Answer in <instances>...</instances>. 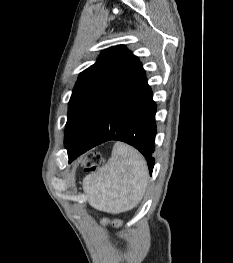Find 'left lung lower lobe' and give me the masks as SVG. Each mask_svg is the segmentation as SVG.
<instances>
[{"instance_id":"obj_1","label":"left lung lower lobe","mask_w":233,"mask_h":263,"mask_svg":"<svg viewBox=\"0 0 233 263\" xmlns=\"http://www.w3.org/2000/svg\"><path fill=\"white\" fill-rule=\"evenodd\" d=\"M141 63L136 67L97 120L83 145L66 146L69 162L109 140H119L138 149L149 171L154 167L156 105Z\"/></svg>"}]
</instances>
